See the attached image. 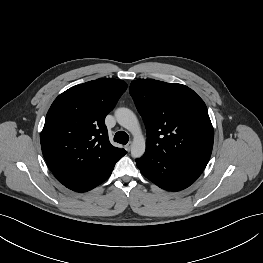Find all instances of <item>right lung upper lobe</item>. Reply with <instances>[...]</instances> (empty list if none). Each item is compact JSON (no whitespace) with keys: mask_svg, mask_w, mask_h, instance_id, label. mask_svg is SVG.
I'll return each mask as SVG.
<instances>
[{"mask_svg":"<svg viewBox=\"0 0 263 263\" xmlns=\"http://www.w3.org/2000/svg\"><path fill=\"white\" fill-rule=\"evenodd\" d=\"M126 89L123 80H93L69 88L52 103L41 148L49 168L67 188L102 174L126 154L111 145L105 126V117Z\"/></svg>","mask_w":263,"mask_h":263,"instance_id":"obj_1","label":"right lung upper lobe"}]
</instances>
